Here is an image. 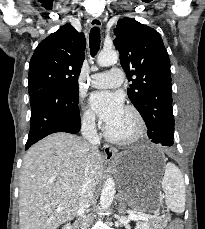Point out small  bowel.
I'll return each mask as SVG.
<instances>
[{"instance_id": "small-bowel-1", "label": "small bowel", "mask_w": 205, "mask_h": 229, "mask_svg": "<svg viewBox=\"0 0 205 229\" xmlns=\"http://www.w3.org/2000/svg\"><path fill=\"white\" fill-rule=\"evenodd\" d=\"M167 229H181V226L179 222H174L171 225H169Z\"/></svg>"}]
</instances>
